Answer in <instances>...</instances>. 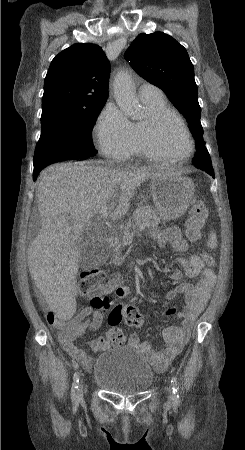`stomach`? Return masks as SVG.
<instances>
[{
    "label": "stomach",
    "mask_w": 245,
    "mask_h": 450,
    "mask_svg": "<svg viewBox=\"0 0 245 450\" xmlns=\"http://www.w3.org/2000/svg\"><path fill=\"white\" fill-rule=\"evenodd\" d=\"M150 189L156 212L163 220H175L188 209L195 192L193 181L180 173H167L152 177ZM120 261L119 256H115Z\"/></svg>",
    "instance_id": "0dacf381"
}]
</instances>
